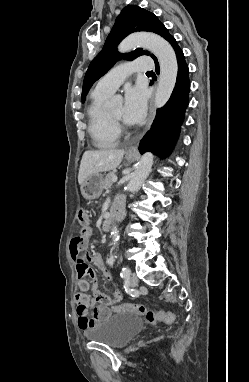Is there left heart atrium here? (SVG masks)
<instances>
[{
	"instance_id": "39dd6f15",
	"label": "left heart atrium",
	"mask_w": 249,
	"mask_h": 382,
	"mask_svg": "<svg viewBox=\"0 0 249 382\" xmlns=\"http://www.w3.org/2000/svg\"><path fill=\"white\" fill-rule=\"evenodd\" d=\"M146 94L143 88L139 86L130 87L126 90L123 119L127 124L140 123L146 112Z\"/></svg>"
}]
</instances>
